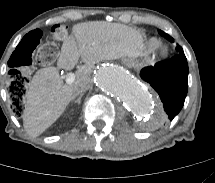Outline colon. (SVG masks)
I'll return each instance as SVG.
<instances>
[{"label": "colon", "mask_w": 215, "mask_h": 183, "mask_svg": "<svg viewBox=\"0 0 215 183\" xmlns=\"http://www.w3.org/2000/svg\"><path fill=\"white\" fill-rule=\"evenodd\" d=\"M67 35L64 24H56L51 28L37 27L28 32L12 51L9 60L8 90L11 107L16 113L23 111V99L28 86V78L24 74L32 62L39 66L50 65L56 58L57 47L51 42L54 38L62 40Z\"/></svg>", "instance_id": "obj_1"}]
</instances>
